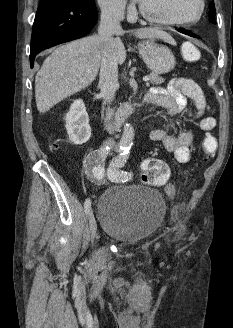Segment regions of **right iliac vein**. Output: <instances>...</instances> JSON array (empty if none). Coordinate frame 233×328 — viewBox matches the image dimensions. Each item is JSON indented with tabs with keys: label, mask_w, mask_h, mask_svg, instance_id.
Segmentation results:
<instances>
[{
	"label": "right iliac vein",
	"mask_w": 233,
	"mask_h": 328,
	"mask_svg": "<svg viewBox=\"0 0 233 328\" xmlns=\"http://www.w3.org/2000/svg\"><path fill=\"white\" fill-rule=\"evenodd\" d=\"M89 230L91 240L93 241L97 231V222L92 212L89 214Z\"/></svg>",
	"instance_id": "right-iliac-vein-1"
}]
</instances>
